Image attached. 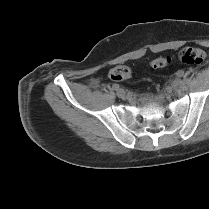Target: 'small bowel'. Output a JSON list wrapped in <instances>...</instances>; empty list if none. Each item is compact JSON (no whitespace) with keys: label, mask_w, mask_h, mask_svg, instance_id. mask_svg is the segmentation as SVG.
I'll use <instances>...</instances> for the list:
<instances>
[{"label":"small bowel","mask_w":209,"mask_h":209,"mask_svg":"<svg viewBox=\"0 0 209 209\" xmlns=\"http://www.w3.org/2000/svg\"><path fill=\"white\" fill-rule=\"evenodd\" d=\"M93 82L96 83V82H98V80L97 79H94Z\"/></svg>","instance_id":"1"}]
</instances>
